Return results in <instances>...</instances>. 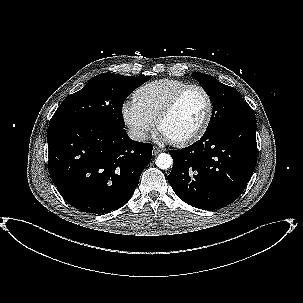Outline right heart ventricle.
I'll return each instance as SVG.
<instances>
[{"instance_id": "obj_1", "label": "right heart ventricle", "mask_w": 303, "mask_h": 303, "mask_svg": "<svg viewBox=\"0 0 303 303\" xmlns=\"http://www.w3.org/2000/svg\"><path fill=\"white\" fill-rule=\"evenodd\" d=\"M187 85V82L175 79L156 80L136 90L134 97L142 109L156 121L171 98Z\"/></svg>"}]
</instances>
